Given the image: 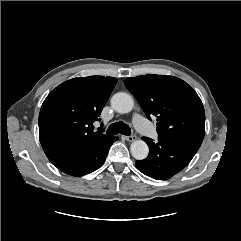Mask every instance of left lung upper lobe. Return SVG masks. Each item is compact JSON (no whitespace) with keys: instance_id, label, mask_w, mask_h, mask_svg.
<instances>
[{"instance_id":"5c2ea615","label":"left lung upper lobe","mask_w":241,"mask_h":241,"mask_svg":"<svg viewBox=\"0 0 241 241\" xmlns=\"http://www.w3.org/2000/svg\"><path fill=\"white\" fill-rule=\"evenodd\" d=\"M124 83L147 118L157 117L160 137L202 143L204 107L190 85L177 77L153 74L127 78Z\"/></svg>"}]
</instances>
